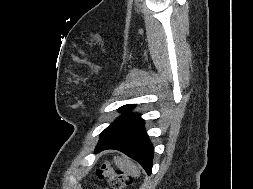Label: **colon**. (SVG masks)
<instances>
[{
    "instance_id": "obj_1",
    "label": "colon",
    "mask_w": 253,
    "mask_h": 189,
    "mask_svg": "<svg viewBox=\"0 0 253 189\" xmlns=\"http://www.w3.org/2000/svg\"><path fill=\"white\" fill-rule=\"evenodd\" d=\"M96 175L99 179H106L112 189H125L130 184V179L124 172L112 169L107 163L97 168Z\"/></svg>"
}]
</instances>
